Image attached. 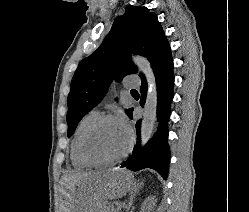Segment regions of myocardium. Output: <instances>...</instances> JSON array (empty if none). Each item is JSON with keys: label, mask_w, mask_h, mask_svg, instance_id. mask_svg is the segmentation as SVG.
Instances as JSON below:
<instances>
[{"label": "myocardium", "mask_w": 249, "mask_h": 212, "mask_svg": "<svg viewBox=\"0 0 249 212\" xmlns=\"http://www.w3.org/2000/svg\"><path fill=\"white\" fill-rule=\"evenodd\" d=\"M105 122H117V123H120L121 125H123L128 132L129 142H128V146L125 149V151L122 154H120L119 156H117L116 158L111 159V160H106V161H99V160L92 158L88 154L87 141H88L91 133L99 125H101L102 123H105ZM133 146H134V132L129 124H127L122 118H120L118 116L98 115L84 128V130L80 136L79 143H78V153H79L81 160L85 164H87L88 166L108 167V166L115 165V164L119 163L121 160H123L124 158H126L129 155V153L132 151Z\"/></svg>", "instance_id": "obj_1"}]
</instances>
